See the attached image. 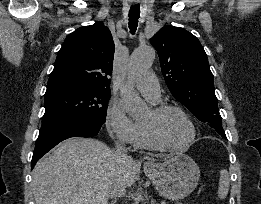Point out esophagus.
Segmentation results:
<instances>
[{"instance_id":"obj_1","label":"esophagus","mask_w":261,"mask_h":204,"mask_svg":"<svg viewBox=\"0 0 261 204\" xmlns=\"http://www.w3.org/2000/svg\"><path fill=\"white\" fill-rule=\"evenodd\" d=\"M145 165L149 166V165H151V162H146Z\"/></svg>"}]
</instances>
